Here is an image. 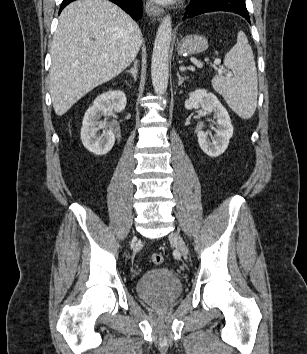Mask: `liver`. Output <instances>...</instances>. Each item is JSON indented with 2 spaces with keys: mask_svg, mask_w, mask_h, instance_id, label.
Masks as SVG:
<instances>
[{
  "mask_svg": "<svg viewBox=\"0 0 307 354\" xmlns=\"http://www.w3.org/2000/svg\"><path fill=\"white\" fill-rule=\"evenodd\" d=\"M141 45L139 26L117 5L107 0L67 5L50 49V94L56 115H64L92 89L125 70Z\"/></svg>",
  "mask_w": 307,
  "mask_h": 354,
  "instance_id": "liver-1",
  "label": "liver"
}]
</instances>
